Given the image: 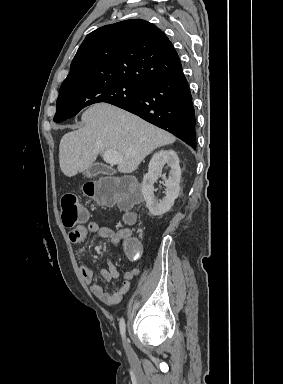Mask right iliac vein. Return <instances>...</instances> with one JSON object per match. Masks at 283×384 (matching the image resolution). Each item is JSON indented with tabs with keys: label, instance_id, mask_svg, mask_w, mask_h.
<instances>
[{
	"label": "right iliac vein",
	"instance_id": "obj_1",
	"mask_svg": "<svg viewBox=\"0 0 283 384\" xmlns=\"http://www.w3.org/2000/svg\"><path fill=\"white\" fill-rule=\"evenodd\" d=\"M124 346H125V350H126L127 354L132 355V350H131V347H130L128 341L124 342Z\"/></svg>",
	"mask_w": 283,
	"mask_h": 384
}]
</instances>
